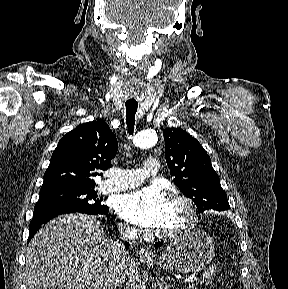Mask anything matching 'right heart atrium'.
I'll use <instances>...</instances> for the list:
<instances>
[{
    "label": "right heart atrium",
    "instance_id": "right-heart-atrium-1",
    "mask_svg": "<svg viewBox=\"0 0 288 289\" xmlns=\"http://www.w3.org/2000/svg\"><path fill=\"white\" fill-rule=\"evenodd\" d=\"M122 229L128 235H133L135 233V231L128 226H122Z\"/></svg>",
    "mask_w": 288,
    "mask_h": 289
}]
</instances>
